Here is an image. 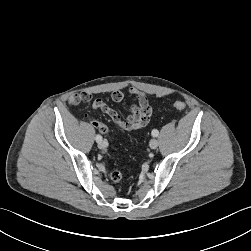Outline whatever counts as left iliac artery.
<instances>
[{
  "mask_svg": "<svg viewBox=\"0 0 251 251\" xmlns=\"http://www.w3.org/2000/svg\"><path fill=\"white\" fill-rule=\"evenodd\" d=\"M151 134L153 137H157L159 132H158V130L154 129Z\"/></svg>",
  "mask_w": 251,
  "mask_h": 251,
  "instance_id": "left-iliac-artery-1",
  "label": "left iliac artery"
}]
</instances>
